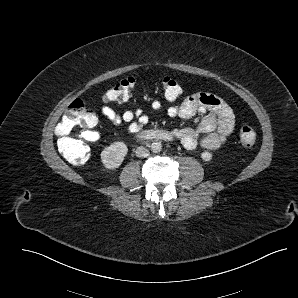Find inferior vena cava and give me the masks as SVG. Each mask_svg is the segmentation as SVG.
<instances>
[{
    "instance_id": "602c4592",
    "label": "inferior vena cava",
    "mask_w": 298,
    "mask_h": 298,
    "mask_svg": "<svg viewBox=\"0 0 298 298\" xmlns=\"http://www.w3.org/2000/svg\"><path fill=\"white\" fill-rule=\"evenodd\" d=\"M135 153H136V156L139 158H146L150 154L149 150L143 146L137 147Z\"/></svg>"
}]
</instances>
